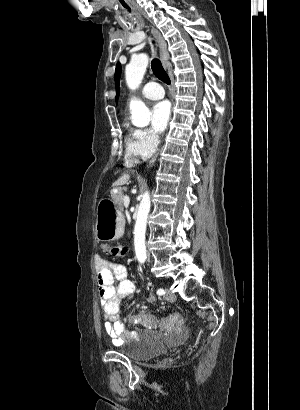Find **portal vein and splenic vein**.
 <instances>
[{
    "mask_svg": "<svg viewBox=\"0 0 300 410\" xmlns=\"http://www.w3.org/2000/svg\"><path fill=\"white\" fill-rule=\"evenodd\" d=\"M123 203H124V206L125 207H128L129 206V204H130V198H129V196H124V199H123Z\"/></svg>",
    "mask_w": 300,
    "mask_h": 410,
    "instance_id": "obj_1",
    "label": "portal vein and splenic vein"
}]
</instances>
